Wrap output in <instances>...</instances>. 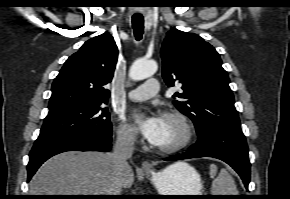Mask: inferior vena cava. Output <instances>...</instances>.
Returning <instances> with one entry per match:
<instances>
[{"instance_id": "602c4592", "label": "inferior vena cava", "mask_w": 290, "mask_h": 199, "mask_svg": "<svg viewBox=\"0 0 290 199\" xmlns=\"http://www.w3.org/2000/svg\"><path fill=\"white\" fill-rule=\"evenodd\" d=\"M134 132L131 130L120 131L110 153L114 164L113 184L109 195H121L124 172L128 168L127 159L134 151Z\"/></svg>"}]
</instances>
